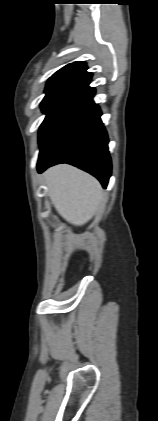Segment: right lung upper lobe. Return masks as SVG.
Masks as SVG:
<instances>
[{"mask_svg": "<svg viewBox=\"0 0 158 421\" xmlns=\"http://www.w3.org/2000/svg\"><path fill=\"white\" fill-rule=\"evenodd\" d=\"M86 70L87 65L83 61L67 64L49 78L46 89L62 85H75L81 88L92 77V73Z\"/></svg>", "mask_w": 158, "mask_h": 421, "instance_id": "1", "label": "right lung upper lobe"}]
</instances>
